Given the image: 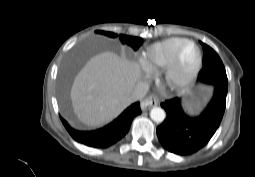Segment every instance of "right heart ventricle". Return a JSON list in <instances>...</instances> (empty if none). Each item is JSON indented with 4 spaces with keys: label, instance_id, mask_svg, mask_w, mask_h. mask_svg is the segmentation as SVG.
Segmentation results:
<instances>
[{
    "label": "right heart ventricle",
    "instance_id": "e07e8e85",
    "mask_svg": "<svg viewBox=\"0 0 255 177\" xmlns=\"http://www.w3.org/2000/svg\"><path fill=\"white\" fill-rule=\"evenodd\" d=\"M185 40L186 39L180 37H171L154 43L142 53V64L147 69L165 67L172 59L177 48Z\"/></svg>",
    "mask_w": 255,
    "mask_h": 177
}]
</instances>
